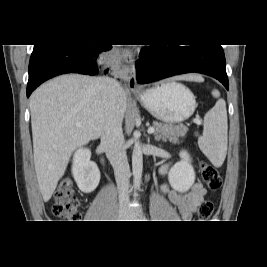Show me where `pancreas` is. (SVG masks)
<instances>
[{
	"instance_id": "1",
	"label": "pancreas",
	"mask_w": 267,
	"mask_h": 267,
	"mask_svg": "<svg viewBox=\"0 0 267 267\" xmlns=\"http://www.w3.org/2000/svg\"><path fill=\"white\" fill-rule=\"evenodd\" d=\"M153 126L156 140L168 139L172 143H178L179 138H184L188 131V128L185 126H176L160 122H153Z\"/></svg>"
}]
</instances>
